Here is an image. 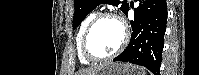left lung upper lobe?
Segmentation results:
<instances>
[{
    "instance_id": "5c2ea615",
    "label": "left lung upper lobe",
    "mask_w": 199,
    "mask_h": 75,
    "mask_svg": "<svg viewBox=\"0 0 199 75\" xmlns=\"http://www.w3.org/2000/svg\"><path fill=\"white\" fill-rule=\"evenodd\" d=\"M106 3L114 6L121 4L120 10L126 13L129 5L126 0H75V13L73 17V29H76L83 19L99 4Z\"/></svg>"
}]
</instances>
